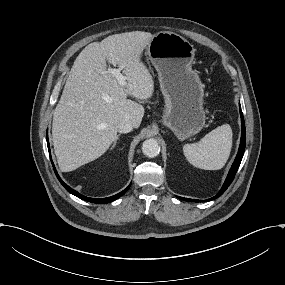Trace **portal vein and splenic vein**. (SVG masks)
<instances>
[{
  "label": "portal vein and splenic vein",
  "instance_id": "1",
  "mask_svg": "<svg viewBox=\"0 0 285 285\" xmlns=\"http://www.w3.org/2000/svg\"><path fill=\"white\" fill-rule=\"evenodd\" d=\"M123 69V67L122 68H119V69H109V73H111L112 74V76H114L115 78H116V80H117V82H118V84L120 85V86H125V85H127V77L126 76H123L122 74H121V70Z\"/></svg>",
  "mask_w": 285,
  "mask_h": 285
}]
</instances>
